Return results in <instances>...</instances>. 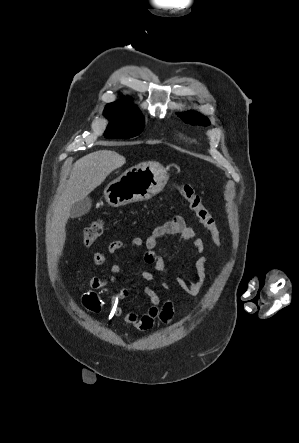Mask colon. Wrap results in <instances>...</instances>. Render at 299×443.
Returning a JSON list of instances; mask_svg holds the SVG:
<instances>
[{
  "label": "colon",
  "mask_w": 299,
  "mask_h": 443,
  "mask_svg": "<svg viewBox=\"0 0 299 443\" xmlns=\"http://www.w3.org/2000/svg\"><path fill=\"white\" fill-rule=\"evenodd\" d=\"M175 187L180 195L186 200L200 223L210 232L213 242L219 246L221 244V238L217 222L212 213L204 205L201 197L189 184H176ZM104 230L105 223L103 220L97 219L91 222L83 230L82 238L84 245L87 247L93 245L103 234Z\"/></svg>",
  "instance_id": "colon-1"
}]
</instances>
